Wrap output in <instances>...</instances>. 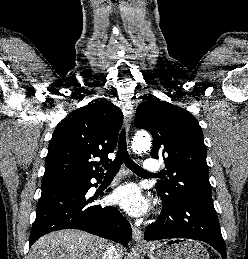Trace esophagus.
<instances>
[{"label": "esophagus", "mask_w": 248, "mask_h": 259, "mask_svg": "<svg viewBox=\"0 0 248 259\" xmlns=\"http://www.w3.org/2000/svg\"><path fill=\"white\" fill-rule=\"evenodd\" d=\"M124 110H125V115H126L127 132H129L130 128L132 126L133 119H134V110H133L132 104L127 103L125 105ZM132 236H133V239L138 243L145 242L143 239L142 231L134 225H132Z\"/></svg>", "instance_id": "1"}]
</instances>
